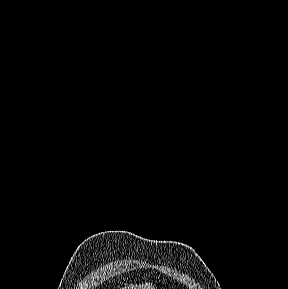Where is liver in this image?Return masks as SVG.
Returning a JSON list of instances; mask_svg holds the SVG:
<instances>
[{
    "mask_svg": "<svg viewBox=\"0 0 288 289\" xmlns=\"http://www.w3.org/2000/svg\"><path fill=\"white\" fill-rule=\"evenodd\" d=\"M122 289H154V286L151 283L139 284V285H126Z\"/></svg>",
    "mask_w": 288,
    "mask_h": 289,
    "instance_id": "obj_1",
    "label": "liver"
}]
</instances>
